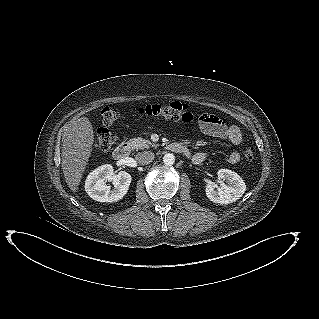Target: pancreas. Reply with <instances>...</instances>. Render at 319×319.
Instances as JSON below:
<instances>
[{"label": "pancreas", "instance_id": "obj_1", "mask_svg": "<svg viewBox=\"0 0 319 319\" xmlns=\"http://www.w3.org/2000/svg\"><path fill=\"white\" fill-rule=\"evenodd\" d=\"M128 146L133 150L138 149H145L149 148L150 146L155 147V144H152L149 140L138 138H132L127 142Z\"/></svg>", "mask_w": 319, "mask_h": 319}]
</instances>
